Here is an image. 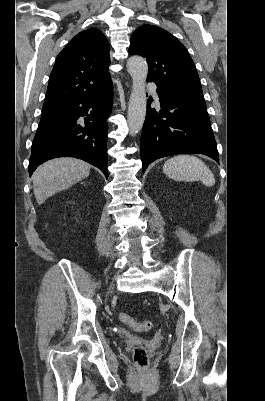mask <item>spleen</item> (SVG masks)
Masks as SVG:
<instances>
[{
    "label": "spleen",
    "instance_id": "obj_1",
    "mask_svg": "<svg viewBox=\"0 0 265 401\" xmlns=\"http://www.w3.org/2000/svg\"><path fill=\"white\" fill-rule=\"evenodd\" d=\"M163 172L173 180H201L205 186H212L215 182L214 174L205 162L190 154L168 158L163 164Z\"/></svg>",
    "mask_w": 265,
    "mask_h": 401
}]
</instances>
